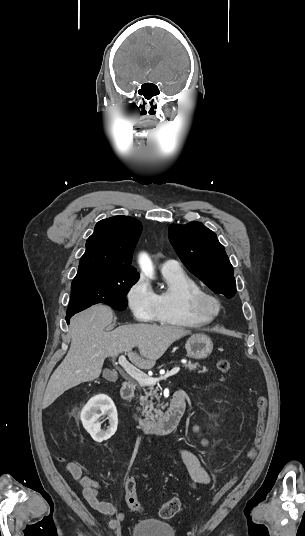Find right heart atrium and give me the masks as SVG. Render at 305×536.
Wrapping results in <instances>:
<instances>
[{"label": "right heart atrium", "mask_w": 305, "mask_h": 536, "mask_svg": "<svg viewBox=\"0 0 305 536\" xmlns=\"http://www.w3.org/2000/svg\"><path fill=\"white\" fill-rule=\"evenodd\" d=\"M126 305L139 322H154L157 316L156 294L149 283L138 276L128 287Z\"/></svg>", "instance_id": "right-heart-atrium-1"}]
</instances>
